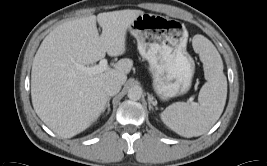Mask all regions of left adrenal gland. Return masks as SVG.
<instances>
[{
	"mask_svg": "<svg viewBox=\"0 0 267 166\" xmlns=\"http://www.w3.org/2000/svg\"><path fill=\"white\" fill-rule=\"evenodd\" d=\"M148 104H149V110L153 109L151 104H153L154 106L156 105L155 103L152 102V98L150 97V95L148 96Z\"/></svg>",
	"mask_w": 267,
	"mask_h": 166,
	"instance_id": "obj_1",
	"label": "left adrenal gland"
}]
</instances>
